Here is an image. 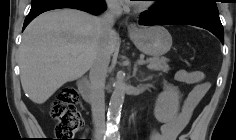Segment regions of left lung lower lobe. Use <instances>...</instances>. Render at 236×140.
<instances>
[{"mask_svg":"<svg viewBox=\"0 0 236 140\" xmlns=\"http://www.w3.org/2000/svg\"><path fill=\"white\" fill-rule=\"evenodd\" d=\"M140 25H194L213 33L224 44V31L219 14L198 10H178L165 12L154 8L144 12L139 20Z\"/></svg>","mask_w":236,"mask_h":140,"instance_id":"obj_1","label":"left lung lower lobe"}]
</instances>
